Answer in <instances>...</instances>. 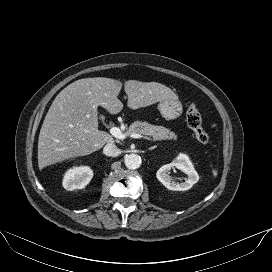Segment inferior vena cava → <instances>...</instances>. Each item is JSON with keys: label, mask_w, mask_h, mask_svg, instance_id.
Returning a JSON list of instances; mask_svg holds the SVG:
<instances>
[{"label": "inferior vena cava", "mask_w": 272, "mask_h": 272, "mask_svg": "<svg viewBox=\"0 0 272 272\" xmlns=\"http://www.w3.org/2000/svg\"><path fill=\"white\" fill-rule=\"evenodd\" d=\"M103 152L105 155L111 156V157H115L120 154L119 148L115 144H112V143L106 144L103 149Z\"/></svg>", "instance_id": "inferior-vena-cava-1"}]
</instances>
